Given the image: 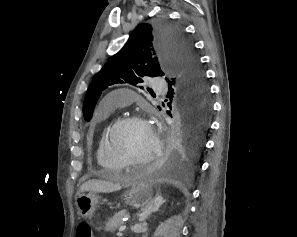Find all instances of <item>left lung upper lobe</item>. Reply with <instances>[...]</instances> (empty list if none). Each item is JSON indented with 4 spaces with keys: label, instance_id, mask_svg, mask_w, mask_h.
Here are the masks:
<instances>
[{
    "label": "left lung upper lobe",
    "instance_id": "1",
    "mask_svg": "<svg viewBox=\"0 0 297 237\" xmlns=\"http://www.w3.org/2000/svg\"><path fill=\"white\" fill-rule=\"evenodd\" d=\"M166 75L174 76L166 80L177 94L197 105L209 104L203 72L183 31L165 21L140 24L124 47L93 77L83 105L85 120L91 119L101 92L108 86L126 82L136 85L145 76Z\"/></svg>",
    "mask_w": 297,
    "mask_h": 237
}]
</instances>
